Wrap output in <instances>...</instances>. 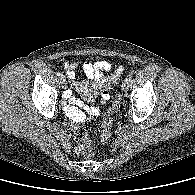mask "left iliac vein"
I'll list each match as a JSON object with an SVG mask.
<instances>
[{"mask_svg":"<svg viewBox=\"0 0 195 195\" xmlns=\"http://www.w3.org/2000/svg\"><path fill=\"white\" fill-rule=\"evenodd\" d=\"M129 86H130V82H129L127 79L124 80L123 83H122V89H123L124 91H127L128 88H129Z\"/></svg>","mask_w":195,"mask_h":195,"instance_id":"4c4485c4","label":"left iliac vein"}]
</instances>
